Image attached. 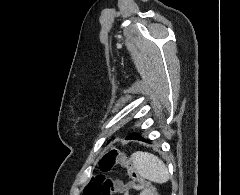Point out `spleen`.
Masks as SVG:
<instances>
[{
    "label": "spleen",
    "mask_w": 240,
    "mask_h": 195,
    "mask_svg": "<svg viewBox=\"0 0 240 195\" xmlns=\"http://www.w3.org/2000/svg\"><path fill=\"white\" fill-rule=\"evenodd\" d=\"M131 159L134 167H136L139 175L149 179V181H155V183H165L168 181L170 175L168 169L157 155L148 153V151H135L132 153Z\"/></svg>",
    "instance_id": "1"
}]
</instances>
